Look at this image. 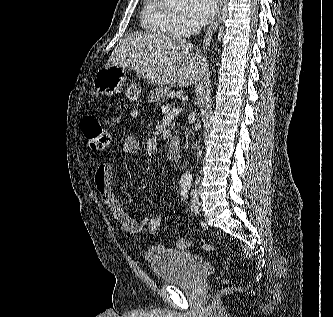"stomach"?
I'll list each match as a JSON object with an SVG mask.
<instances>
[{
	"mask_svg": "<svg viewBox=\"0 0 333 317\" xmlns=\"http://www.w3.org/2000/svg\"><path fill=\"white\" fill-rule=\"evenodd\" d=\"M126 69L121 66H107L100 68L94 79V90L102 95H114L120 91L124 82ZM140 91L136 84L132 83L127 87L126 95L129 99L135 100L139 97Z\"/></svg>",
	"mask_w": 333,
	"mask_h": 317,
	"instance_id": "1",
	"label": "stomach"
}]
</instances>
